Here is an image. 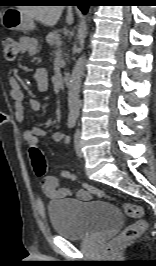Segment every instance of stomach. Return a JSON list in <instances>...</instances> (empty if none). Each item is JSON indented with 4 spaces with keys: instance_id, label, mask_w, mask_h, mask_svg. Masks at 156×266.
<instances>
[{
    "instance_id": "0dacf381",
    "label": "stomach",
    "mask_w": 156,
    "mask_h": 266,
    "mask_svg": "<svg viewBox=\"0 0 156 266\" xmlns=\"http://www.w3.org/2000/svg\"><path fill=\"white\" fill-rule=\"evenodd\" d=\"M3 22L6 27L16 31H29L34 29L33 20L19 9H9L4 13Z\"/></svg>"
}]
</instances>
